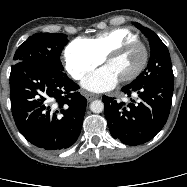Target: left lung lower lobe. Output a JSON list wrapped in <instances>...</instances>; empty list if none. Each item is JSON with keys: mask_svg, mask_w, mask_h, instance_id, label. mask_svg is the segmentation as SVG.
<instances>
[{"mask_svg": "<svg viewBox=\"0 0 187 187\" xmlns=\"http://www.w3.org/2000/svg\"><path fill=\"white\" fill-rule=\"evenodd\" d=\"M174 81L150 82L122 88L130 102L103 96L105 117L113 138L126 145L151 140L166 123L172 102ZM135 98L132 99L131 97Z\"/></svg>", "mask_w": 187, "mask_h": 187, "instance_id": "0a47b994", "label": "left lung lower lobe"}]
</instances>
